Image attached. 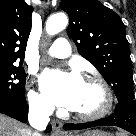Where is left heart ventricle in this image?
Listing matches in <instances>:
<instances>
[{"label":"left heart ventricle","mask_w":136,"mask_h":136,"mask_svg":"<svg viewBox=\"0 0 136 136\" xmlns=\"http://www.w3.org/2000/svg\"><path fill=\"white\" fill-rule=\"evenodd\" d=\"M104 104V94L99 86L84 82L76 112L90 114L98 111Z\"/></svg>","instance_id":"b2bd125f"}]
</instances>
